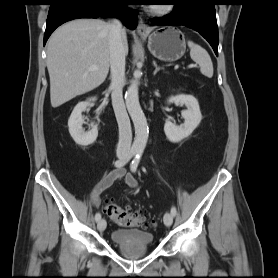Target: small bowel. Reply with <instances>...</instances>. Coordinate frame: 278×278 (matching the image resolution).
Masks as SVG:
<instances>
[{
  "label": "small bowel",
  "instance_id": "1",
  "mask_svg": "<svg viewBox=\"0 0 278 278\" xmlns=\"http://www.w3.org/2000/svg\"><path fill=\"white\" fill-rule=\"evenodd\" d=\"M118 181H122L125 185L132 189L138 187V181L134 175L127 172L124 168H115L104 175L93 187L90 195L92 203L95 206H99L100 195Z\"/></svg>",
  "mask_w": 278,
  "mask_h": 278
}]
</instances>
